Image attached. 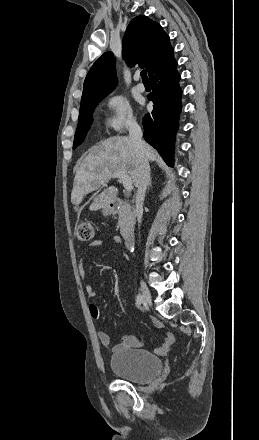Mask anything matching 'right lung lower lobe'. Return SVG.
I'll return each instance as SVG.
<instances>
[{"label":"right lung lower lobe","mask_w":259,"mask_h":440,"mask_svg":"<svg viewBox=\"0 0 259 440\" xmlns=\"http://www.w3.org/2000/svg\"><path fill=\"white\" fill-rule=\"evenodd\" d=\"M176 66L177 62L172 56L149 76L152 92L148 99L154 105L152 113L143 118L144 139L169 166H173L174 141L181 111L182 91Z\"/></svg>","instance_id":"1"}]
</instances>
